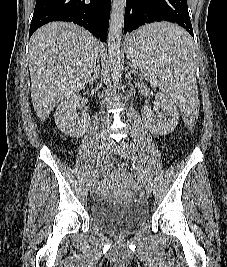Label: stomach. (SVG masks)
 <instances>
[{"mask_svg": "<svg viewBox=\"0 0 227 267\" xmlns=\"http://www.w3.org/2000/svg\"><path fill=\"white\" fill-rule=\"evenodd\" d=\"M138 31V30H137ZM128 38H132L131 36H128ZM128 56V58H130V55H127ZM134 64V66H136L137 67V63H133Z\"/></svg>", "mask_w": 227, "mask_h": 267, "instance_id": "obj_1", "label": "stomach"}]
</instances>
